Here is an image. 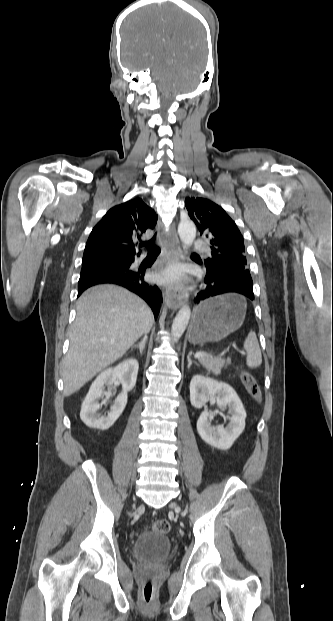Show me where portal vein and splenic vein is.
I'll list each match as a JSON object with an SVG mask.
<instances>
[{"label": "portal vein and splenic vein", "instance_id": "portal-vein-and-splenic-vein-1", "mask_svg": "<svg viewBox=\"0 0 333 621\" xmlns=\"http://www.w3.org/2000/svg\"><path fill=\"white\" fill-rule=\"evenodd\" d=\"M207 355H208V353H207V352L202 351V352H197V353L194 355V357L199 359V358L204 357V356H207Z\"/></svg>", "mask_w": 333, "mask_h": 621}]
</instances>
